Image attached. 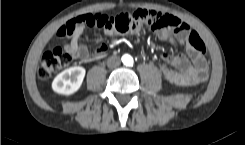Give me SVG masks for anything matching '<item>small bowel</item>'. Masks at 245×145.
<instances>
[{"label": "small bowel", "mask_w": 245, "mask_h": 145, "mask_svg": "<svg viewBox=\"0 0 245 145\" xmlns=\"http://www.w3.org/2000/svg\"><path fill=\"white\" fill-rule=\"evenodd\" d=\"M88 15L79 16V24L73 29V37L66 46L73 59H79L84 63L90 62L93 58L102 56L107 49L106 44L104 43L98 45L93 50H90L86 45L79 42L86 27L90 26L86 19ZM110 15L115 16L114 14ZM183 26V29L179 33H173L165 28L155 29V35L159 40L177 44L180 47H183L187 53V56H170L164 54L162 56L164 64L160 69L163 77L168 82L178 85L193 86L207 80L208 63L204 55L190 45L188 41L189 25L183 23ZM91 27L96 26L94 25Z\"/></svg>", "instance_id": "1"}]
</instances>
